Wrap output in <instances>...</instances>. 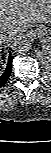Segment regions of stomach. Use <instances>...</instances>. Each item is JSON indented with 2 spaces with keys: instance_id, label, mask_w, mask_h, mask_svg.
<instances>
[{
  "instance_id": "obj_1",
  "label": "stomach",
  "mask_w": 51,
  "mask_h": 153,
  "mask_svg": "<svg viewBox=\"0 0 51 153\" xmlns=\"http://www.w3.org/2000/svg\"><path fill=\"white\" fill-rule=\"evenodd\" d=\"M36 33L44 49L51 50V26H39Z\"/></svg>"
}]
</instances>
